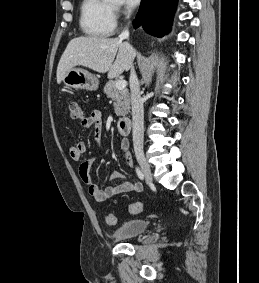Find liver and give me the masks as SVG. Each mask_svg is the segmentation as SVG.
Here are the masks:
<instances>
[{"instance_id":"obj_1","label":"liver","mask_w":259,"mask_h":283,"mask_svg":"<svg viewBox=\"0 0 259 283\" xmlns=\"http://www.w3.org/2000/svg\"><path fill=\"white\" fill-rule=\"evenodd\" d=\"M134 58V48L120 38L76 37L68 43L60 58L57 82L61 83L64 75L75 66L87 67L98 73L108 72V77L114 78L128 71Z\"/></svg>"}]
</instances>
